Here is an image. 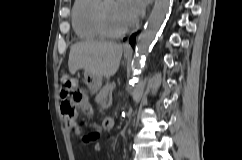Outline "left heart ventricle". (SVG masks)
I'll list each match as a JSON object with an SVG mask.
<instances>
[{
	"mask_svg": "<svg viewBox=\"0 0 242 160\" xmlns=\"http://www.w3.org/2000/svg\"><path fill=\"white\" fill-rule=\"evenodd\" d=\"M103 15L107 28L113 32L121 31L129 25L118 0H106Z\"/></svg>",
	"mask_w": 242,
	"mask_h": 160,
	"instance_id": "obj_1",
	"label": "left heart ventricle"
}]
</instances>
